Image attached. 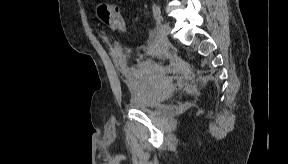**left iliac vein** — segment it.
Masks as SVG:
<instances>
[{"instance_id":"4c4485c4","label":"left iliac vein","mask_w":288,"mask_h":164,"mask_svg":"<svg viewBox=\"0 0 288 164\" xmlns=\"http://www.w3.org/2000/svg\"><path fill=\"white\" fill-rule=\"evenodd\" d=\"M170 27L167 23L161 24L157 29V41L160 46H164L168 40Z\"/></svg>"}]
</instances>
